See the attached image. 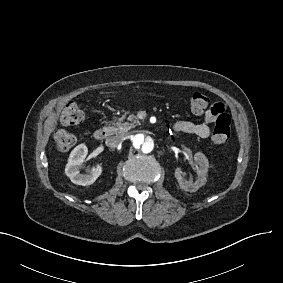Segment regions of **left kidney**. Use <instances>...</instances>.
Here are the masks:
<instances>
[{
    "instance_id": "1",
    "label": "left kidney",
    "mask_w": 283,
    "mask_h": 283,
    "mask_svg": "<svg viewBox=\"0 0 283 283\" xmlns=\"http://www.w3.org/2000/svg\"><path fill=\"white\" fill-rule=\"evenodd\" d=\"M194 160L199 165V169L197 170L198 178L195 182H193L192 180H186L182 176V171L180 168L175 169V178L177 179L180 188L184 191L196 192L200 187L205 185L207 181L206 176L209 168L208 159L203 153L197 152L194 155Z\"/></svg>"
}]
</instances>
